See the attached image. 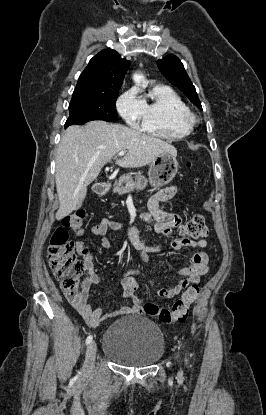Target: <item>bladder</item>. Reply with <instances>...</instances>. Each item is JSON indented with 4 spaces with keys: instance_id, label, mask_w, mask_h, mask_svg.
I'll return each mask as SVG.
<instances>
[{
    "instance_id": "bladder-1",
    "label": "bladder",
    "mask_w": 266,
    "mask_h": 415,
    "mask_svg": "<svg viewBox=\"0 0 266 415\" xmlns=\"http://www.w3.org/2000/svg\"><path fill=\"white\" fill-rule=\"evenodd\" d=\"M102 350L120 365L149 366L163 356L165 339L154 322L142 316H130L109 325L103 337Z\"/></svg>"
}]
</instances>
